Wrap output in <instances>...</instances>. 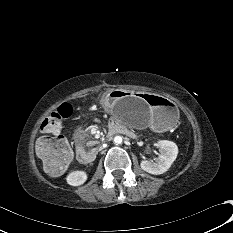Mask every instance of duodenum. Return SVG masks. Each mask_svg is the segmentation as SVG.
<instances>
[{"mask_svg":"<svg viewBox=\"0 0 233 233\" xmlns=\"http://www.w3.org/2000/svg\"><path fill=\"white\" fill-rule=\"evenodd\" d=\"M116 134H123L130 136L131 132L125 127L121 126L120 124L113 122L110 125L106 139L109 140L112 138V136ZM96 156H97V152L95 150L85 151L82 148L77 149L78 160L83 164H88L93 162L96 159Z\"/></svg>","mask_w":233,"mask_h":233,"instance_id":"obj_1","label":"duodenum"}]
</instances>
